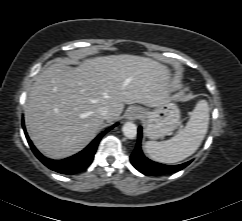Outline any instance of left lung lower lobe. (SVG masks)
Returning <instances> with one entry per match:
<instances>
[{
  "mask_svg": "<svg viewBox=\"0 0 242 221\" xmlns=\"http://www.w3.org/2000/svg\"><path fill=\"white\" fill-rule=\"evenodd\" d=\"M141 139L142 130L141 127L138 128V139L135 150L133 151L130 161L132 165L141 173L152 176V175H162L177 172L185 168L189 163H183L180 165H164L160 163L153 162L146 158L141 150Z\"/></svg>",
  "mask_w": 242,
  "mask_h": 221,
  "instance_id": "obj_1",
  "label": "left lung lower lobe"
}]
</instances>
